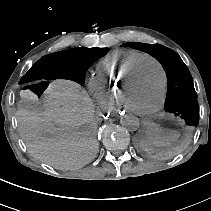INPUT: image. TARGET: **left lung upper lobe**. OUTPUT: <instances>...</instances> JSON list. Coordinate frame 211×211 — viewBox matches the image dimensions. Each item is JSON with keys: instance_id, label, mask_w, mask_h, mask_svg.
<instances>
[{"instance_id": "left-lung-upper-lobe-1", "label": "left lung upper lobe", "mask_w": 211, "mask_h": 211, "mask_svg": "<svg viewBox=\"0 0 211 211\" xmlns=\"http://www.w3.org/2000/svg\"><path fill=\"white\" fill-rule=\"evenodd\" d=\"M144 51L155 57L164 67L168 89L165 106L167 112L183 118L187 125L196 127L199 123V105L192 76L180 56L160 44L126 43L123 47Z\"/></svg>"}]
</instances>
